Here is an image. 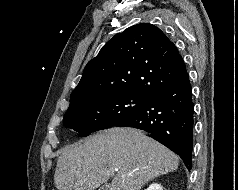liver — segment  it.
Segmentation results:
<instances>
[{
  "label": "liver",
  "mask_w": 238,
  "mask_h": 190,
  "mask_svg": "<svg viewBox=\"0 0 238 190\" xmlns=\"http://www.w3.org/2000/svg\"><path fill=\"white\" fill-rule=\"evenodd\" d=\"M178 166L172 151L142 131L111 128L63 149L54 183L58 190H95L112 177L110 190H141Z\"/></svg>",
  "instance_id": "6515ba94"
}]
</instances>
